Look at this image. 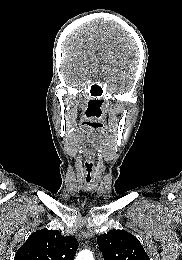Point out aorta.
Returning a JSON list of instances; mask_svg holds the SVG:
<instances>
[{
    "mask_svg": "<svg viewBox=\"0 0 182 260\" xmlns=\"http://www.w3.org/2000/svg\"><path fill=\"white\" fill-rule=\"evenodd\" d=\"M75 260H94V257L91 251L83 250L77 254Z\"/></svg>",
    "mask_w": 182,
    "mask_h": 260,
    "instance_id": "obj_1",
    "label": "aorta"
}]
</instances>
